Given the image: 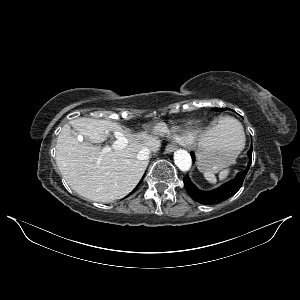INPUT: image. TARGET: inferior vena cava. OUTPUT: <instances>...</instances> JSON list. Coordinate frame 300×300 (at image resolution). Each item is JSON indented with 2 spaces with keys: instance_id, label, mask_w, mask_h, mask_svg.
<instances>
[{
  "instance_id": "obj_1",
  "label": "inferior vena cava",
  "mask_w": 300,
  "mask_h": 300,
  "mask_svg": "<svg viewBox=\"0 0 300 300\" xmlns=\"http://www.w3.org/2000/svg\"><path fill=\"white\" fill-rule=\"evenodd\" d=\"M160 148V141L157 140L156 138H154L151 142H150V148H143L142 150H140L137 154V159L138 160H145L148 161L149 158V154L150 152H157Z\"/></svg>"
}]
</instances>
